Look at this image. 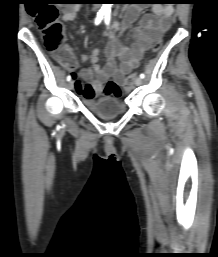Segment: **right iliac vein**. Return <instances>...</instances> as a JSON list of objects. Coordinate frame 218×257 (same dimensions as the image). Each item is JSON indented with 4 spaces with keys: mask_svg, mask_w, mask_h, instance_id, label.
<instances>
[{
    "mask_svg": "<svg viewBox=\"0 0 218 257\" xmlns=\"http://www.w3.org/2000/svg\"><path fill=\"white\" fill-rule=\"evenodd\" d=\"M68 88L71 89V90L74 88V83H73V81H69V83H68Z\"/></svg>",
    "mask_w": 218,
    "mask_h": 257,
    "instance_id": "63e3f726",
    "label": "right iliac vein"
}]
</instances>
